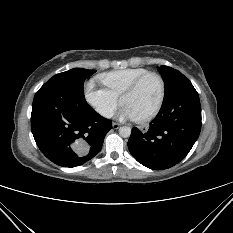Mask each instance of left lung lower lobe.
I'll list each match as a JSON object with an SVG mask.
<instances>
[{
	"label": "left lung lower lobe",
	"instance_id": "left-lung-lower-lobe-1",
	"mask_svg": "<svg viewBox=\"0 0 233 233\" xmlns=\"http://www.w3.org/2000/svg\"><path fill=\"white\" fill-rule=\"evenodd\" d=\"M201 130L199 96L182 75L167 97L148 130L133 127L128 149L142 165L163 170L182 161Z\"/></svg>",
	"mask_w": 233,
	"mask_h": 233
}]
</instances>
